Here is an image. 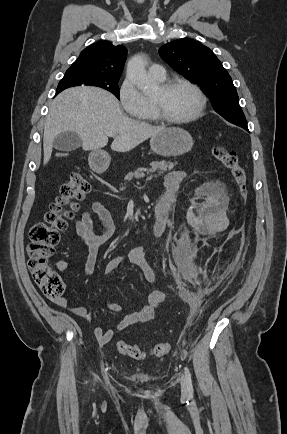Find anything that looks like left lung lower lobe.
I'll return each instance as SVG.
<instances>
[{
    "label": "left lung lower lobe",
    "mask_w": 287,
    "mask_h": 434,
    "mask_svg": "<svg viewBox=\"0 0 287 434\" xmlns=\"http://www.w3.org/2000/svg\"><path fill=\"white\" fill-rule=\"evenodd\" d=\"M229 122H231L233 124H236V125L244 128L245 130L249 131L248 130V126L246 124V120H232V121H229Z\"/></svg>",
    "instance_id": "left-lung-lower-lobe-1"
}]
</instances>
